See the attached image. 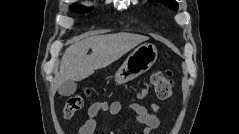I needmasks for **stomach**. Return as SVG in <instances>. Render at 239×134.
I'll return each mask as SVG.
<instances>
[{
	"mask_svg": "<svg viewBox=\"0 0 239 134\" xmlns=\"http://www.w3.org/2000/svg\"><path fill=\"white\" fill-rule=\"evenodd\" d=\"M157 49L153 44L138 46L125 60L115 74V82L126 83L148 71L157 59Z\"/></svg>",
	"mask_w": 239,
	"mask_h": 134,
	"instance_id": "1",
	"label": "stomach"
}]
</instances>
